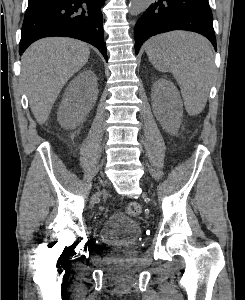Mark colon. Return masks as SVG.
Here are the masks:
<instances>
[{"label":"colon","mask_w":245,"mask_h":300,"mask_svg":"<svg viewBox=\"0 0 245 300\" xmlns=\"http://www.w3.org/2000/svg\"><path fill=\"white\" fill-rule=\"evenodd\" d=\"M141 212H142L141 204L136 201H132L128 203L126 206V213L131 217H137L141 214Z\"/></svg>","instance_id":"1"}]
</instances>
